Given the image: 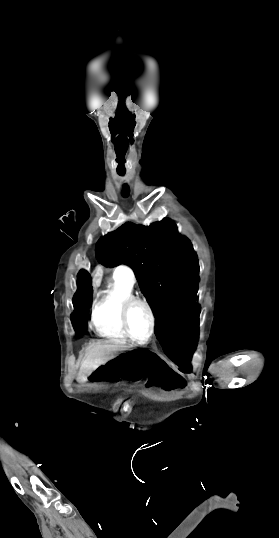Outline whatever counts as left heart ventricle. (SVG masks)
<instances>
[{
	"mask_svg": "<svg viewBox=\"0 0 279 538\" xmlns=\"http://www.w3.org/2000/svg\"><path fill=\"white\" fill-rule=\"evenodd\" d=\"M100 210H114L116 207H96ZM104 225H107L105 219H101ZM129 326L133 336L143 341L145 340L150 332V318L143 306L135 305L130 309L129 312Z\"/></svg>",
	"mask_w": 279,
	"mask_h": 538,
	"instance_id": "obj_1",
	"label": "left heart ventricle"
}]
</instances>
